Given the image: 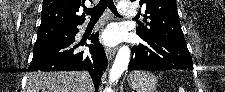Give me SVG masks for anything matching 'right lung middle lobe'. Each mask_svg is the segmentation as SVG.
I'll use <instances>...</instances> for the list:
<instances>
[{
    "label": "right lung middle lobe",
    "instance_id": "right-lung-middle-lobe-1",
    "mask_svg": "<svg viewBox=\"0 0 225 92\" xmlns=\"http://www.w3.org/2000/svg\"><path fill=\"white\" fill-rule=\"evenodd\" d=\"M76 30L77 27L68 25H49L39 27L35 45L67 39L71 37Z\"/></svg>",
    "mask_w": 225,
    "mask_h": 92
}]
</instances>
